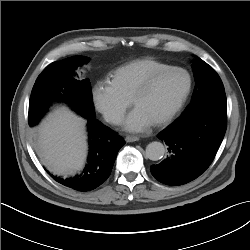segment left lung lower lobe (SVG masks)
<instances>
[{
    "instance_id": "obj_1",
    "label": "left lung lower lobe",
    "mask_w": 250,
    "mask_h": 250,
    "mask_svg": "<svg viewBox=\"0 0 250 250\" xmlns=\"http://www.w3.org/2000/svg\"><path fill=\"white\" fill-rule=\"evenodd\" d=\"M227 127L226 94L202 101L158 134L169 155L152 165V175L161 183L177 186L199 177L212 163Z\"/></svg>"
}]
</instances>
